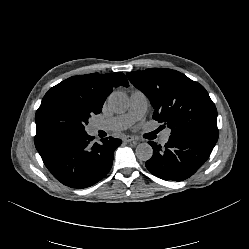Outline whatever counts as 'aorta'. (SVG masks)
Listing matches in <instances>:
<instances>
[{"mask_svg": "<svg viewBox=\"0 0 249 249\" xmlns=\"http://www.w3.org/2000/svg\"><path fill=\"white\" fill-rule=\"evenodd\" d=\"M128 97L123 92H113L108 98V107L112 112L123 113L128 109ZM135 154L139 160L147 161L153 155V149L148 143L137 145Z\"/></svg>", "mask_w": 249, "mask_h": 249, "instance_id": "aorta-1", "label": "aorta"}]
</instances>
